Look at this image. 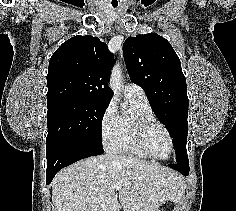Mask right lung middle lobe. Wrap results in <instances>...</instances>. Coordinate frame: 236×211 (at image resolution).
Returning a JSON list of instances; mask_svg holds the SVG:
<instances>
[{
	"label": "right lung middle lobe",
	"instance_id": "dd1d6c3e",
	"mask_svg": "<svg viewBox=\"0 0 236 211\" xmlns=\"http://www.w3.org/2000/svg\"><path fill=\"white\" fill-rule=\"evenodd\" d=\"M108 105L106 102L64 101L48 106L46 143L75 140L102 147L101 125Z\"/></svg>",
	"mask_w": 236,
	"mask_h": 211
}]
</instances>
